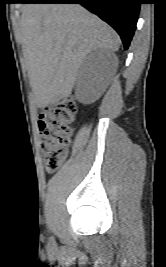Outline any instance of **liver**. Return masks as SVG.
Segmentation results:
<instances>
[{
  "mask_svg": "<svg viewBox=\"0 0 166 267\" xmlns=\"http://www.w3.org/2000/svg\"><path fill=\"white\" fill-rule=\"evenodd\" d=\"M20 40L37 107L67 98L79 68L92 50L117 51L120 38L79 4H28L21 16Z\"/></svg>",
  "mask_w": 166,
  "mask_h": 267,
  "instance_id": "6515ba94",
  "label": "liver"
}]
</instances>
